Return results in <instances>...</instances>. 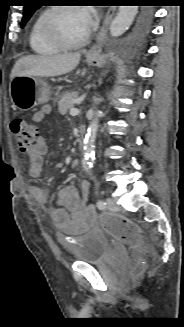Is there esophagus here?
I'll return each mask as SVG.
<instances>
[{"mask_svg":"<svg viewBox=\"0 0 184 327\" xmlns=\"http://www.w3.org/2000/svg\"><path fill=\"white\" fill-rule=\"evenodd\" d=\"M114 15V9L110 8L108 12L106 13L105 19L103 21L102 27L97 35L96 43L91 47V49L88 51V56H98L102 52V45L106 37V33L108 30V26L112 20V17Z\"/></svg>","mask_w":184,"mask_h":327,"instance_id":"esophagus-1","label":"esophagus"}]
</instances>
